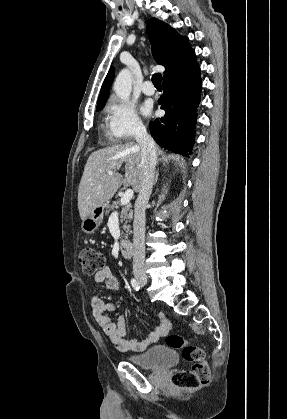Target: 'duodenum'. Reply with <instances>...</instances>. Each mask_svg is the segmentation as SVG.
<instances>
[{"instance_id":"1","label":"duodenum","mask_w":287,"mask_h":419,"mask_svg":"<svg viewBox=\"0 0 287 419\" xmlns=\"http://www.w3.org/2000/svg\"><path fill=\"white\" fill-rule=\"evenodd\" d=\"M120 251L123 257L130 258L134 252L133 243L128 239H123L120 243Z\"/></svg>"}]
</instances>
